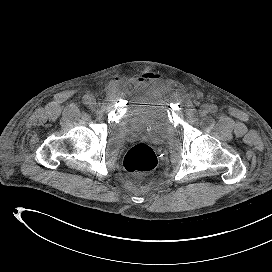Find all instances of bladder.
<instances>
[{
  "mask_svg": "<svg viewBox=\"0 0 272 272\" xmlns=\"http://www.w3.org/2000/svg\"><path fill=\"white\" fill-rule=\"evenodd\" d=\"M127 136L163 143L170 133L168 110L162 101L144 98L133 103L123 118Z\"/></svg>",
  "mask_w": 272,
  "mask_h": 272,
  "instance_id": "bladder-1",
  "label": "bladder"
}]
</instances>
